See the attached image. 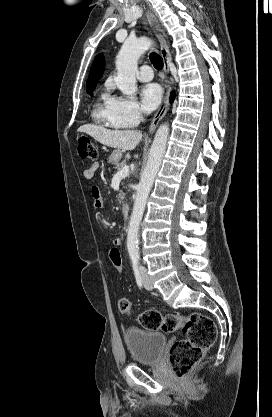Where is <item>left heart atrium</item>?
<instances>
[{
  "instance_id": "left-heart-atrium-1",
  "label": "left heart atrium",
  "mask_w": 272,
  "mask_h": 417,
  "mask_svg": "<svg viewBox=\"0 0 272 417\" xmlns=\"http://www.w3.org/2000/svg\"><path fill=\"white\" fill-rule=\"evenodd\" d=\"M162 97V88L156 83L146 84L141 90V101L146 111L156 109L161 103Z\"/></svg>"
}]
</instances>
